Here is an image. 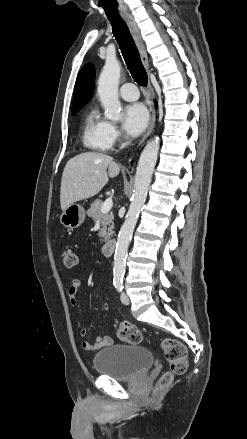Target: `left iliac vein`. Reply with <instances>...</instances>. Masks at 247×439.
Returning a JSON list of instances; mask_svg holds the SVG:
<instances>
[{"instance_id":"left-iliac-vein-1","label":"left iliac vein","mask_w":247,"mask_h":439,"mask_svg":"<svg viewBox=\"0 0 247 439\" xmlns=\"http://www.w3.org/2000/svg\"><path fill=\"white\" fill-rule=\"evenodd\" d=\"M120 298L123 304L128 305L130 303V299L126 293L122 292Z\"/></svg>"}]
</instances>
